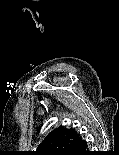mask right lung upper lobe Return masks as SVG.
<instances>
[{
  "instance_id": "cb5924a9",
  "label": "right lung upper lobe",
  "mask_w": 119,
  "mask_h": 155,
  "mask_svg": "<svg viewBox=\"0 0 119 155\" xmlns=\"http://www.w3.org/2000/svg\"><path fill=\"white\" fill-rule=\"evenodd\" d=\"M81 137L74 129L59 127L54 129L40 143L33 155H64Z\"/></svg>"
}]
</instances>
